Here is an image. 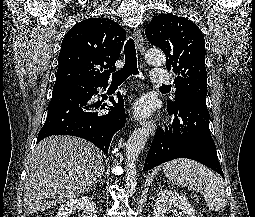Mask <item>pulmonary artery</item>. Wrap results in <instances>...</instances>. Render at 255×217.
Returning <instances> with one entry per match:
<instances>
[{
    "label": "pulmonary artery",
    "mask_w": 255,
    "mask_h": 217,
    "mask_svg": "<svg viewBox=\"0 0 255 217\" xmlns=\"http://www.w3.org/2000/svg\"><path fill=\"white\" fill-rule=\"evenodd\" d=\"M151 79L154 83L159 85L170 84V76L167 73L161 72L159 69H154L151 73Z\"/></svg>",
    "instance_id": "e3ab8cb5"
}]
</instances>
